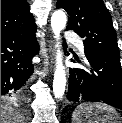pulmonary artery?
Returning <instances> with one entry per match:
<instances>
[{
  "label": "pulmonary artery",
  "mask_w": 122,
  "mask_h": 123,
  "mask_svg": "<svg viewBox=\"0 0 122 123\" xmlns=\"http://www.w3.org/2000/svg\"><path fill=\"white\" fill-rule=\"evenodd\" d=\"M66 39L69 42H73L77 45L78 49L80 50L81 53H84V45L82 43V41L80 40V38L73 32H68L66 34Z\"/></svg>",
  "instance_id": "1"
}]
</instances>
